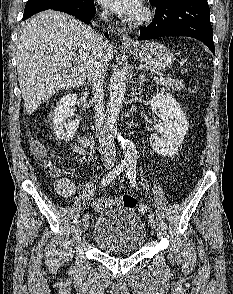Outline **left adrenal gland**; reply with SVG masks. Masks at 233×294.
Wrapping results in <instances>:
<instances>
[{
	"instance_id": "1",
	"label": "left adrenal gland",
	"mask_w": 233,
	"mask_h": 294,
	"mask_svg": "<svg viewBox=\"0 0 233 294\" xmlns=\"http://www.w3.org/2000/svg\"><path fill=\"white\" fill-rule=\"evenodd\" d=\"M144 81H145V75L142 74L140 75V81H139L140 86L143 84Z\"/></svg>"
}]
</instances>
